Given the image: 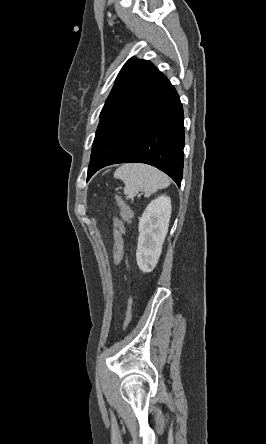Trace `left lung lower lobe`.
Returning <instances> with one entry per match:
<instances>
[{"instance_id":"0a47b994","label":"left lung lower lobe","mask_w":266,"mask_h":444,"mask_svg":"<svg viewBox=\"0 0 266 444\" xmlns=\"http://www.w3.org/2000/svg\"><path fill=\"white\" fill-rule=\"evenodd\" d=\"M183 120L179 96L165 78L110 115L97 129L87 181L105 166L140 162L162 170L180 187L184 158Z\"/></svg>"}]
</instances>
